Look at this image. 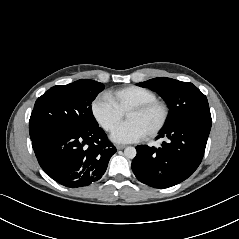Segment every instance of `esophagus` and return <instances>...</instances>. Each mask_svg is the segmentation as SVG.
Wrapping results in <instances>:
<instances>
[{
    "instance_id": "obj_1",
    "label": "esophagus",
    "mask_w": 239,
    "mask_h": 239,
    "mask_svg": "<svg viewBox=\"0 0 239 239\" xmlns=\"http://www.w3.org/2000/svg\"><path fill=\"white\" fill-rule=\"evenodd\" d=\"M126 146L125 145H116V148L118 149V150H122V149H124Z\"/></svg>"
}]
</instances>
